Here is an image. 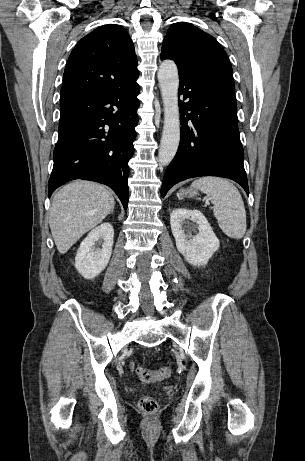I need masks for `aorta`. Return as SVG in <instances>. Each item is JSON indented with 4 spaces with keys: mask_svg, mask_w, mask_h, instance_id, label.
<instances>
[{
    "mask_svg": "<svg viewBox=\"0 0 305 461\" xmlns=\"http://www.w3.org/2000/svg\"><path fill=\"white\" fill-rule=\"evenodd\" d=\"M157 77L164 106V126L158 160L160 164L165 166L174 158L180 142L179 75L175 62L172 60L163 61Z\"/></svg>",
    "mask_w": 305,
    "mask_h": 461,
    "instance_id": "aorta-1",
    "label": "aorta"
}]
</instances>
